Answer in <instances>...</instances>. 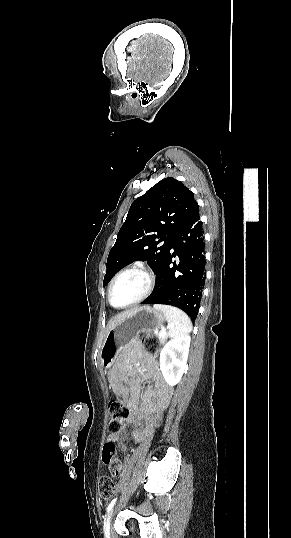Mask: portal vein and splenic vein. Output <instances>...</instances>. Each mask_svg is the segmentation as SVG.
<instances>
[{
	"label": "portal vein and splenic vein",
	"instance_id": "obj_1",
	"mask_svg": "<svg viewBox=\"0 0 291 538\" xmlns=\"http://www.w3.org/2000/svg\"><path fill=\"white\" fill-rule=\"evenodd\" d=\"M161 336H165L166 335V332H160L159 333Z\"/></svg>",
	"mask_w": 291,
	"mask_h": 538
}]
</instances>
